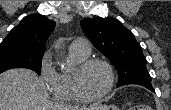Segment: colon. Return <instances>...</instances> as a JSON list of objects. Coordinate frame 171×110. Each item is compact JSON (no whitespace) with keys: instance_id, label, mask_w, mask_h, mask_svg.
<instances>
[{"instance_id":"5ec220e1","label":"colon","mask_w":171,"mask_h":110,"mask_svg":"<svg viewBox=\"0 0 171 110\" xmlns=\"http://www.w3.org/2000/svg\"><path fill=\"white\" fill-rule=\"evenodd\" d=\"M129 110H140L137 106L131 107Z\"/></svg>"}]
</instances>
